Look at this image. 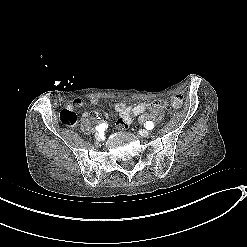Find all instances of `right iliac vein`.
<instances>
[{"mask_svg": "<svg viewBox=\"0 0 247 247\" xmlns=\"http://www.w3.org/2000/svg\"><path fill=\"white\" fill-rule=\"evenodd\" d=\"M95 138H96V140H100L101 139V134L100 133H96L95 134Z\"/></svg>", "mask_w": 247, "mask_h": 247, "instance_id": "right-iliac-vein-1", "label": "right iliac vein"}]
</instances>
